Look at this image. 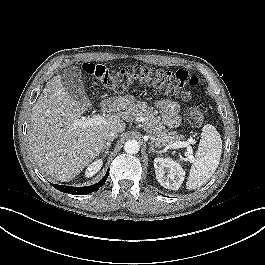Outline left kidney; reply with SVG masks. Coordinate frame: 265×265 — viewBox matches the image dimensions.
Here are the masks:
<instances>
[{
  "mask_svg": "<svg viewBox=\"0 0 265 265\" xmlns=\"http://www.w3.org/2000/svg\"><path fill=\"white\" fill-rule=\"evenodd\" d=\"M154 169L158 182L166 189L178 190L184 181L185 171L171 158H155Z\"/></svg>",
  "mask_w": 265,
  "mask_h": 265,
  "instance_id": "obj_1",
  "label": "left kidney"
}]
</instances>
